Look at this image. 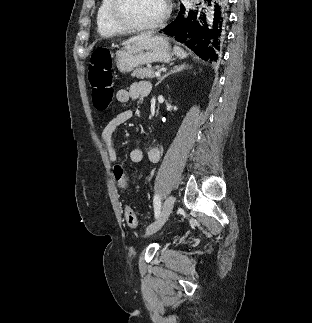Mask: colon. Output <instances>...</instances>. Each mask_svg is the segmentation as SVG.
<instances>
[{"instance_id": "colon-1", "label": "colon", "mask_w": 312, "mask_h": 323, "mask_svg": "<svg viewBox=\"0 0 312 323\" xmlns=\"http://www.w3.org/2000/svg\"><path fill=\"white\" fill-rule=\"evenodd\" d=\"M111 67L112 53L108 48H98L92 53L89 65V81L92 85V104L98 110L106 109L112 101L114 79ZM113 170L117 172V182H124L125 177L122 175L121 165H114ZM125 215L128 225L132 229H136L139 223L133 210H126Z\"/></svg>"}]
</instances>
